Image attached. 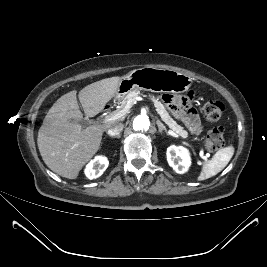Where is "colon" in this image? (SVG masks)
I'll return each mask as SVG.
<instances>
[{
  "label": "colon",
  "mask_w": 267,
  "mask_h": 267,
  "mask_svg": "<svg viewBox=\"0 0 267 267\" xmlns=\"http://www.w3.org/2000/svg\"><path fill=\"white\" fill-rule=\"evenodd\" d=\"M224 107L220 101L208 100L202 106L204 117L211 122L218 121L223 113ZM206 147L210 151H217L224 145L223 130L220 127L211 129L205 139Z\"/></svg>",
  "instance_id": "colon-1"
}]
</instances>
